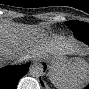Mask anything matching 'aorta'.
<instances>
[{"label": "aorta", "mask_w": 89, "mask_h": 89, "mask_svg": "<svg viewBox=\"0 0 89 89\" xmlns=\"http://www.w3.org/2000/svg\"><path fill=\"white\" fill-rule=\"evenodd\" d=\"M29 73L33 77H40L43 74V66L41 64H33L30 66Z\"/></svg>", "instance_id": "aorta-1"}]
</instances>
